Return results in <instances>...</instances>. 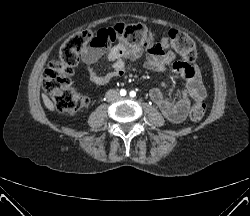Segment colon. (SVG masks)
Segmentation results:
<instances>
[{
	"instance_id": "5ec220e1",
	"label": "colon",
	"mask_w": 250,
	"mask_h": 216,
	"mask_svg": "<svg viewBox=\"0 0 250 216\" xmlns=\"http://www.w3.org/2000/svg\"><path fill=\"white\" fill-rule=\"evenodd\" d=\"M160 39L168 42L170 49L181 55L188 63L195 61L197 50L194 41L185 33L170 30L162 33ZM155 39V34L141 23L115 24L96 33L84 31L71 36L61 46L57 59L51 61L44 71L43 88L50 95L56 109L62 113L75 114L88 106L86 96L78 93L71 85L73 68L79 62L82 51L89 47L108 48L120 41L129 47L141 48ZM206 112L204 100L194 101L190 118L199 121Z\"/></svg>"
}]
</instances>
